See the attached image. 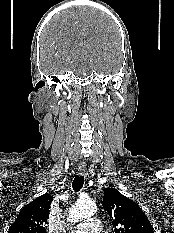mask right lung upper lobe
<instances>
[{
  "mask_svg": "<svg viewBox=\"0 0 174 233\" xmlns=\"http://www.w3.org/2000/svg\"><path fill=\"white\" fill-rule=\"evenodd\" d=\"M53 196L43 194L22 208L8 233H46Z\"/></svg>",
  "mask_w": 174,
  "mask_h": 233,
  "instance_id": "cb5924a9",
  "label": "right lung upper lobe"
}]
</instances>
